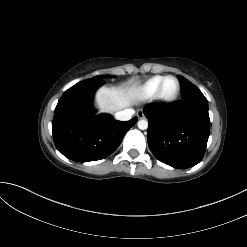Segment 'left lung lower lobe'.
<instances>
[{
	"label": "left lung lower lobe",
	"instance_id": "1",
	"mask_svg": "<svg viewBox=\"0 0 247 247\" xmlns=\"http://www.w3.org/2000/svg\"><path fill=\"white\" fill-rule=\"evenodd\" d=\"M149 119L148 145L161 162L178 169L198 164L210 134L208 102L193 87L169 105L152 104L143 110Z\"/></svg>",
	"mask_w": 247,
	"mask_h": 247
}]
</instances>
